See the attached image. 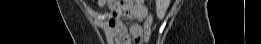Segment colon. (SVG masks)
<instances>
[{"label": "colon", "mask_w": 261, "mask_h": 44, "mask_svg": "<svg viewBox=\"0 0 261 44\" xmlns=\"http://www.w3.org/2000/svg\"><path fill=\"white\" fill-rule=\"evenodd\" d=\"M101 3L103 5L111 4L112 6H118L120 8H123V6H135L136 5L135 1L104 0V1H101ZM151 34H152V16L150 15L147 18L146 22L144 23L142 35H141V38L139 39V42L140 43L148 42L151 37Z\"/></svg>", "instance_id": "obj_1"}]
</instances>
